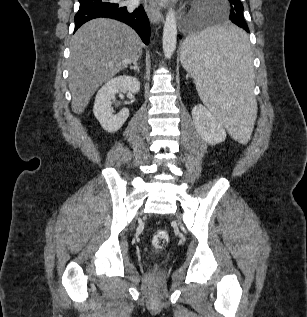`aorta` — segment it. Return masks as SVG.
Here are the masks:
<instances>
[{"label":"aorta","instance_id":"aorta-1","mask_svg":"<svg viewBox=\"0 0 307 317\" xmlns=\"http://www.w3.org/2000/svg\"><path fill=\"white\" fill-rule=\"evenodd\" d=\"M163 53L167 59H170L176 49L177 44V25L176 13L170 8L165 19L163 29Z\"/></svg>","mask_w":307,"mask_h":317}]
</instances>
